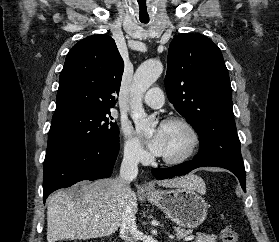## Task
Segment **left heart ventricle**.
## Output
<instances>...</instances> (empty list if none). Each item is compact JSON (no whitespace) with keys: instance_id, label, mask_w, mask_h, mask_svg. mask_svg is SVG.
<instances>
[{"instance_id":"1","label":"left heart ventricle","mask_w":279,"mask_h":242,"mask_svg":"<svg viewBox=\"0 0 279 242\" xmlns=\"http://www.w3.org/2000/svg\"><path fill=\"white\" fill-rule=\"evenodd\" d=\"M163 133V157H177L188 147L189 136L180 125H162Z\"/></svg>"}]
</instances>
